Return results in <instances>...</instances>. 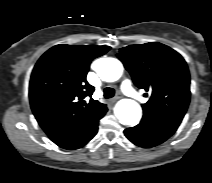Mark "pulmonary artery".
I'll return each instance as SVG.
<instances>
[{"instance_id":"obj_1","label":"pulmonary artery","mask_w":212,"mask_h":183,"mask_svg":"<svg viewBox=\"0 0 212 183\" xmlns=\"http://www.w3.org/2000/svg\"><path fill=\"white\" fill-rule=\"evenodd\" d=\"M121 89H122V91H123L126 95H128V96H130V97L137 98V99H139V100H141V101H144V100H145L142 96H140V95L132 88L131 83H130L129 80H124V81L121 83Z\"/></svg>"}]
</instances>
